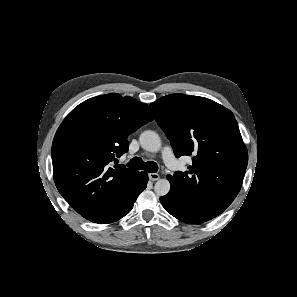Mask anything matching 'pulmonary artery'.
Instances as JSON below:
<instances>
[{
	"instance_id": "pulmonary-artery-1",
	"label": "pulmonary artery",
	"mask_w": 297,
	"mask_h": 297,
	"mask_svg": "<svg viewBox=\"0 0 297 297\" xmlns=\"http://www.w3.org/2000/svg\"><path fill=\"white\" fill-rule=\"evenodd\" d=\"M162 158L168 167H172L175 163L173 151L170 147H165L162 151Z\"/></svg>"
}]
</instances>
